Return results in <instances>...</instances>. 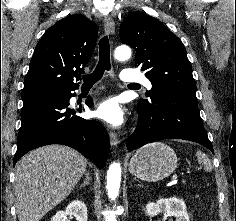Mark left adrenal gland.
I'll return each mask as SVG.
<instances>
[{
  "label": "left adrenal gland",
  "instance_id": "obj_1",
  "mask_svg": "<svg viewBox=\"0 0 236 221\" xmlns=\"http://www.w3.org/2000/svg\"><path fill=\"white\" fill-rule=\"evenodd\" d=\"M137 186H138V187H143V185H141V184H137Z\"/></svg>",
  "mask_w": 236,
  "mask_h": 221
}]
</instances>
